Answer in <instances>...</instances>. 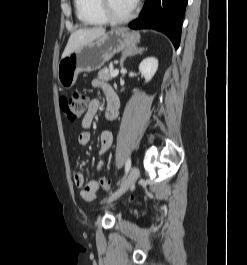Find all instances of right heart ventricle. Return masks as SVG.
Returning a JSON list of instances; mask_svg holds the SVG:
<instances>
[{"label":"right heart ventricle","instance_id":"obj_1","mask_svg":"<svg viewBox=\"0 0 247 265\" xmlns=\"http://www.w3.org/2000/svg\"><path fill=\"white\" fill-rule=\"evenodd\" d=\"M78 19L86 25H105L108 21L99 7V0H74Z\"/></svg>","mask_w":247,"mask_h":265}]
</instances>
